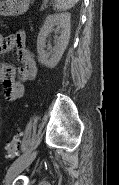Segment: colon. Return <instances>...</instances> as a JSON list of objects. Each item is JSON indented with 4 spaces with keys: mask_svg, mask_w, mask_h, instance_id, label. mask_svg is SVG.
I'll use <instances>...</instances> for the list:
<instances>
[{
    "mask_svg": "<svg viewBox=\"0 0 119 185\" xmlns=\"http://www.w3.org/2000/svg\"><path fill=\"white\" fill-rule=\"evenodd\" d=\"M9 80H6L8 83ZM6 158L12 160L19 155L20 151V136L16 134L13 138L7 143L6 147Z\"/></svg>",
    "mask_w": 119,
    "mask_h": 185,
    "instance_id": "obj_1",
    "label": "colon"
}]
</instances>
